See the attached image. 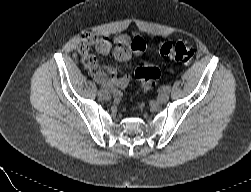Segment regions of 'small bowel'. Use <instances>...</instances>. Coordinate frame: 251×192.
Masks as SVG:
<instances>
[{"mask_svg": "<svg viewBox=\"0 0 251 192\" xmlns=\"http://www.w3.org/2000/svg\"><path fill=\"white\" fill-rule=\"evenodd\" d=\"M145 47V42L138 37L130 38L127 35H120L112 42L107 36L88 33L83 37L78 51L84 67L89 71L93 79L102 87L120 97V90L127 87L130 76H117L113 67L100 65L91 54V49L94 48L103 56L112 54L117 61H126L132 54L142 53Z\"/></svg>", "mask_w": 251, "mask_h": 192, "instance_id": "c3829d8e", "label": "small bowel"}]
</instances>
